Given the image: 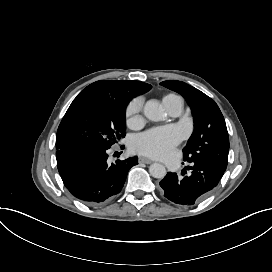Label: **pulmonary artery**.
Masks as SVG:
<instances>
[{"label":"pulmonary artery","instance_id":"e3ab8cb5","mask_svg":"<svg viewBox=\"0 0 272 272\" xmlns=\"http://www.w3.org/2000/svg\"><path fill=\"white\" fill-rule=\"evenodd\" d=\"M183 110V100L179 96H175L170 101V114L173 116H178Z\"/></svg>","mask_w":272,"mask_h":272}]
</instances>
